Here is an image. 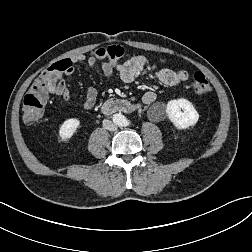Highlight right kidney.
I'll return each mask as SVG.
<instances>
[{
  "label": "right kidney",
  "instance_id": "ca27d5eb",
  "mask_svg": "<svg viewBox=\"0 0 252 252\" xmlns=\"http://www.w3.org/2000/svg\"><path fill=\"white\" fill-rule=\"evenodd\" d=\"M79 126H80V121L76 118H71L64 121V123L60 126V129H59L60 141H63V142L68 141L76 132Z\"/></svg>",
  "mask_w": 252,
  "mask_h": 252
}]
</instances>
